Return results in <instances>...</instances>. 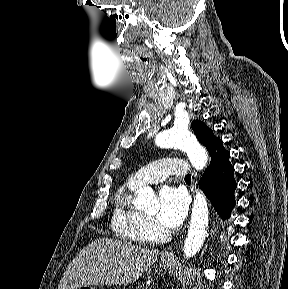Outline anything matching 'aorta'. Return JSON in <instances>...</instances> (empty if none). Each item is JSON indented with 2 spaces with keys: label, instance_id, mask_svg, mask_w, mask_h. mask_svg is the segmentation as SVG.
<instances>
[{
  "label": "aorta",
  "instance_id": "762f6f07",
  "mask_svg": "<svg viewBox=\"0 0 288 289\" xmlns=\"http://www.w3.org/2000/svg\"><path fill=\"white\" fill-rule=\"evenodd\" d=\"M157 145L165 148H178L187 153V156L196 170L205 168L208 155L186 128L173 127L156 137ZM135 205L138 209L149 212L158 211L159 202L150 187H142L137 191ZM209 220L208 204L204 194L197 191L194 198L191 222L187 237L184 241V255L193 257L202 247L207 234Z\"/></svg>",
  "mask_w": 288,
  "mask_h": 289
}]
</instances>
